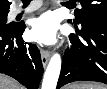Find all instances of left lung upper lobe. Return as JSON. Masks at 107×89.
I'll use <instances>...</instances> for the list:
<instances>
[{
	"instance_id": "obj_1",
	"label": "left lung upper lobe",
	"mask_w": 107,
	"mask_h": 89,
	"mask_svg": "<svg viewBox=\"0 0 107 89\" xmlns=\"http://www.w3.org/2000/svg\"><path fill=\"white\" fill-rule=\"evenodd\" d=\"M82 9L78 10L75 25L89 19H107V0H78Z\"/></svg>"
}]
</instances>
